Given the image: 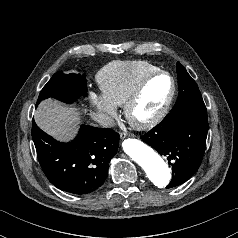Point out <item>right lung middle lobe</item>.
<instances>
[{
    "instance_id": "dd1d6c3e",
    "label": "right lung middle lobe",
    "mask_w": 238,
    "mask_h": 238,
    "mask_svg": "<svg viewBox=\"0 0 238 238\" xmlns=\"http://www.w3.org/2000/svg\"><path fill=\"white\" fill-rule=\"evenodd\" d=\"M87 84L84 75L64 74L58 71L43 87L36 106L44 99L52 97L65 103H72L82 96H86Z\"/></svg>"
}]
</instances>
